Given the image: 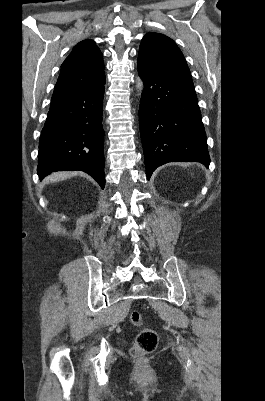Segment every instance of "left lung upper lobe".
I'll return each mask as SVG.
<instances>
[{
  "label": "left lung upper lobe",
  "mask_w": 265,
  "mask_h": 401,
  "mask_svg": "<svg viewBox=\"0 0 265 401\" xmlns=\"http://www.w3.org/2000/svg\"><path fill=\"white\" fill-rule=\"evenodd\" d=\"M138 62L162 74L191 77L180 49L172 39L160 33L150 32L143 37Z\"/></svg>",
  "instance_id": "5c2ea615"
}]
</instances>
